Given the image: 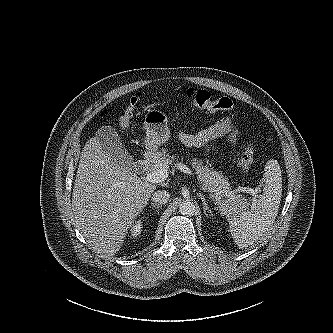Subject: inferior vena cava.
I'll list each match as a JSON object with an SVG mask.
<instances>
[{
  "label": "inferior vena cava",
  "mask_w": 333,
  "mask_h": 333,
  "mask_svg": "<svg viewBox=\"0 0 333 333\" xmlns=\"http://www.w3.org/2000/svg\"><path fill=\"white\" fill-rule=\"evenodd\" d=\"M169 198H170V194L164 190L155 191L151 197V199L155 203H160V204H166L168 202Z\"/></svg>",
  "instance_id": "obj_1"
}]
</instances>
